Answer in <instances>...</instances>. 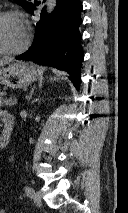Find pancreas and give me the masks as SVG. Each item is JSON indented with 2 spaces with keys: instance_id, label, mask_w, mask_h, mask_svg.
<instances>
[{
  "instance_id": "pancreas-1",
  "label": "pancreas",
  "mask_w": 128,
  "mask_h": 213,
  "mask_svg": "<svg viewBox=\"0 0 128 213\" xmlns=\"http://www.w3.org/2000/svg\"><path fill=\"white\" fill-rule=\"evenodd\" d=\"M5 95H6L5 92L0 91V107L4 106V105H12V103L14 102V100H12V99H10V100L4 99Z\"/></svg>"
}]
</instances>
